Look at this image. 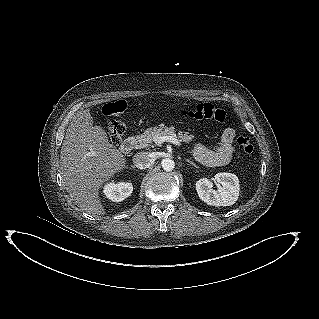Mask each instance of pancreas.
Returning a JSON list of instances; mask_svg holds the SVG:
<instances>
[{
	"label": "pancreas",
	"mask_w": 319,
	"mask_h": 319,
	"mask_svg": "<svg viewBox=\"0 0 319 319\" xmlns=\"http://www.w3.org/2000/svg\"><path fill=\"white\" fill-rule=\"evenodd\" d=\"M156 135L159 136H173L175 138H178L179 141L189 143L193 140L194 136L189 135L188 132H182L179 131L178 134H176L174 127H167V126H161V127H151L148 128L143 134L138 135L135 137V148H145L150 146L154 141V138Z\"/></svg>",
	"instance_id": "obj_1"
}]
</instances>
